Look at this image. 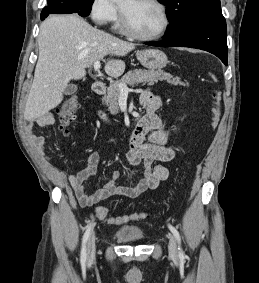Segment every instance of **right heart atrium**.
Listing matches in <instances>:
<instances>
[{"label": "right heart atrium", "mask_w": 259, "mask_h": 283, "mask_svg": "<svg viewBox=\"0 0 259 283\" xmlns=\"http://www.w3.org/2000/svg\"><path fill=\"white\" fill-rule=\"evenodd\" d=\"M117 6L112 0H92L90 6V16L99 25H105L117 17Z\"/></svg>", "instance_id": "d8ad5b80"}]
</instances>
